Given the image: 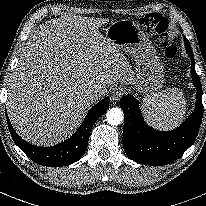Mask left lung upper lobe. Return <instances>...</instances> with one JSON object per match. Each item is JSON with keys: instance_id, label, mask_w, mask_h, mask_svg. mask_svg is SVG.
<instances>
[{"instance_id": "1", "label": "left lung upper lobe", "mask_w": 206, "mask_h": 206, "mask_svg": "<svg viewBox=\"0 0 206 206\" xmlns=\"http://www.w3.org/2000/svg\"><path fill=\"white\" fill-rule=\"evenodd\" d=\"M185 46L187 47V48H191L190 47V44H189V41L186 39V42H185Z\"/></svg>"}]
</instances>
